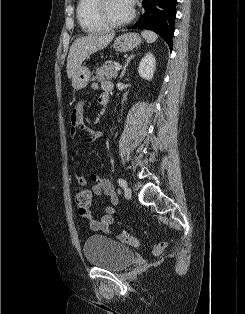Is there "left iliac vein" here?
Here are the masks:
<instances>
[{
    "label": "left iliac vein",
    "mask_w": 245,
    "mask_h": 314,
    "mask_svg": "<svg viewBox=\"0 0 245 314\" xmlns=\"http://www.w3.org/2000/svg\"><path fill=\"white\" fill-rule=\"evenodd\" d=\"M124 196L126 199H130L131 196H132V191H131V188L129 187H126L125 190H124Z\"/></svg>",
    "instance_id": "4c4485c4"
}]
</instances>
